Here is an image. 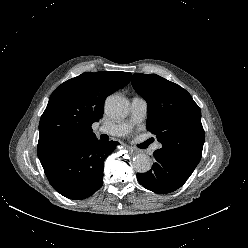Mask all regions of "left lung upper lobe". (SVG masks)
<instances>
[{"label": "left lung upper lobe", "instance_id": "obj_1", "mask_svg": "<svg viewBox=\"0 0 248 248\" xmlns=\"http://www.w3.org/2000/svg\"><path fill=\"white\" fill-rule=\"evenodd\" d=\"M131 82L147 101V130L162 143L155 152L192 173L205 140L198 105L181 86L156 74L135 73Z\"/></svg>", "mask_w": 248, "mask_h": 248}]
</instances>
